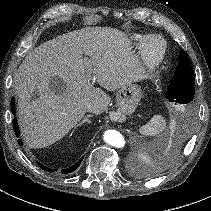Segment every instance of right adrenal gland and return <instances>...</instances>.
Segmentation results:
<instances>
[{"label":"right adrenal gland","mask_w":211,"mask_h":211,"mask_svg":"<svg viewBox=\"0 0 211 211\" xmlns=\"http://www.w3.org/2000/svg\"><path fill=\"white\" fill-rule=\"evenodd\" d=\"M90 117H92V115H89V114L86 115L80 123H78V124L75 125L73 132L75 131V129L77 127L81 126L82 124H84V123H90V120H89Z\"/></svg>","instance_id":"right-adrenal-gland-1"}]
</instances>
